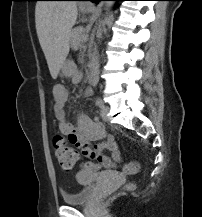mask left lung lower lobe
I'll use <instances>...</instances> for the list:
<instances>
[{
	"instance_id": "obj_1",
	"label": "left lung lower lobe",
	"mask_w": 202,
	"mask_h": 217,
	"mask_svg": "<svg viewBox=\"0 0 202 217\" xmlns=\"http://www.w3.org/2000/svg\"><path fill=\"white\" fill-rule=\"evenodd\" d=\"M87 1L98 2V1H109V0H87ZM110 1H124V0H110Z\"/></svg>"
}]
</instances>
